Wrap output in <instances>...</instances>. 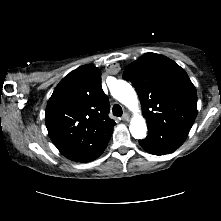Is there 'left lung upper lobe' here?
I'll use <instances>...</instances> for the list:
<instances>
[{
  "mask_svg": "<svg viewBox=\"0 0 221 221\" xmlns=\"http://www.w3.org/2000/svg\"><path fill=\"white\" fill-rule=\"evenodd\" d=\"M123 78L135 87L148 125L191 129L197 115V93L187 73L174 61L146 53L126 67Z\"/></svg>",
  "mask_w": 221,
  "mask_h": 221,
  "instance_id": "5c2ea615",
  "label": "left lung upper lobe"
}]
</instances>
